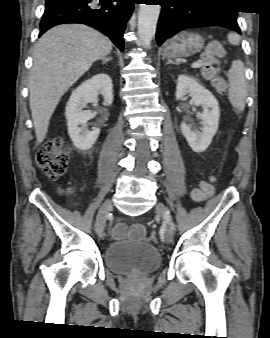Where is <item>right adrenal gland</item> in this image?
I'll list each match as a JSON object with an SVG mask.
<instances>
[{
    "instance_id": "obj_1",
    "label": "right adrenal gland",
    "mask_w": 270,
    "mask_h": 338,
    "mask_svg": "<svg viewBox=\"0 0 270 338\" xmlns=\"http://www.w3.org/2000/svg\"><path fill=\"white\" fill-rule=\"evenodd\" d=\"M109 61H112V58H110V57L104 58L103 61H102V64L104 65Z\"/></svg>"
}]
</instances>
